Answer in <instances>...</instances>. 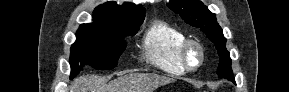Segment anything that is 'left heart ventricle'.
Returning a JSON list of instances; mask_svg holds the SVG:
<instances>
[{"mask_svg": "<svg viewBox=\"0 0 289 92\" xmlns=\"http://www.w3.org/2000/svg\"><path fill=\"white\" fill-rule=\"evenodd\" d=\"M191 64H196L198 61V53L196 50H192L189 56Z\"/></svg>", "mask_w": 289, "mask_h": 92, "instance_id": "1", "label": "left heart ventricle"}]
</instances>
